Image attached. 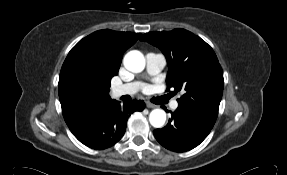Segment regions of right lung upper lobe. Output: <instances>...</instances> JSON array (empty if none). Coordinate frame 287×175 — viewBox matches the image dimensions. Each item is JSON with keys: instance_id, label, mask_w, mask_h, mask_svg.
Masks as SVG:
<instances>
[{"instance_id": "cb5924a9", "label": "right lung upper lobe", "mask_w": 287, "mask_h": 175, "mask_svg": "<svg viewBox=\"0 0 287 175\" xmlns=\"http://www.w3.org/2000/svg\"><path fill=\"white\" fill-rule=\"evenodd\" d=\"M141 34L96 31L79 41L69 52L61 68L58 91L65 121L85 115L90 109L110 100L111 78L118 74L123 53ZM85 65L100 88V96L83 110H74L68 102L67 91L74 72Z\"/></svg>"}]
</instances>
